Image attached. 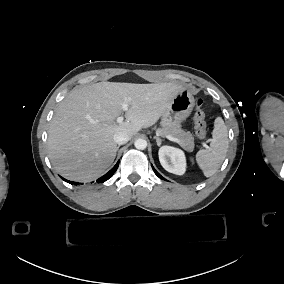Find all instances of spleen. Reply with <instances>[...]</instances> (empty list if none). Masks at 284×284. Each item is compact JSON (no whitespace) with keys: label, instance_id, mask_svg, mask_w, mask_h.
Instances as JSON below:
<instances>
[{"label":"spleen","instance_id":"obj_1","mask_svg":"<svg viewBox=\"0 0 284 284\" xmlns=\"http://www.w3.org/2000/svg\"><path fill=\"white\" fill-rule=\"evenodd\" d=\"M229 147L228 130L221 117L214 121L212 139L208 149L199 150L196 160L206 177H211L223 163Z\"/></svg>","mask_w":284,"mask_h":284}]
</instances>
